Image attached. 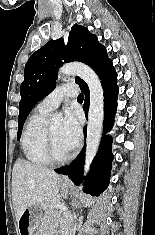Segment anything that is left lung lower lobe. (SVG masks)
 Masks as SVG:
<instances>
[{
    "mask_svg": "<svg viewBox=\"0 0 155 235\" xmlns=\"http://www.w3.org/2000/svg\"><path fill=\"white\" fill-rule=\"evenodd\" d=\"M99 78L104 90V134L101 140L99 151L94 158L90 172L85 180L84 192L92 196H99L109 185L111 162L113 155L111 152L112 138L106 133L112 128L113 118L117 108L118 86H117V73L113 67L112 61L108 63L99 73ZM85 94L84 111L87 117L89 109V89L85 85L81 88ZM86 134V127L84 128ZM85 159V147L80 153L78 159L71 165H67L58 169L55 172L67 175L74 182L79 185Z\"/></svg>",
    "mask_w": 155,
    "mask_h": 235,
    "instance_id": "1",
    "label": "left lung lower lobe"
}]
</instances>
